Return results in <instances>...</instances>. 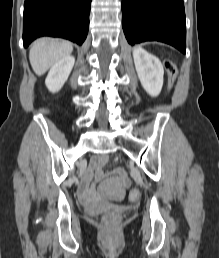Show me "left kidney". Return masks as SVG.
<instances>
[{
	"instance_id": "5707ae66",
	"label": "left kidney",
	"mask_w": 219,
	"mask_h": 258,
	"mask_svg": "<svg viewBox=\"0 0 219 258\" xmlns=\"http://www.w3.org/2000/svg\"><path fill=\"white\" fill-rule=\"evenodd\" d=\"M135 68L139 80L152 97L160 94L163 86L164 69L159 59L141 47H135L133 50Z\"/></svg>"
}]
</instances>
